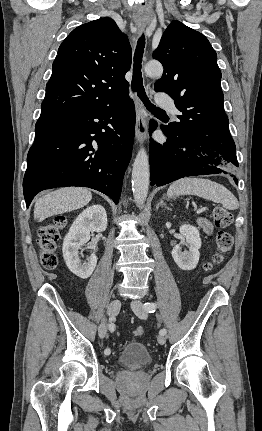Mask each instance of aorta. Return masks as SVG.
Wrapping results in <instances>:
<instances>
[{
    "label": "aorta",
    "instance_id": "aorta-1",
    "mask_svg": "<svg viewBox=\"0 0 262 431\" xmlns=\"http://www.w3.org/2000/svg\"><path fill=\"white\" fill-rule=\"evenodd\" d=\"M145 73L151 77H159L163 67L159 62H149L145 65ZM149 188V158L144 148H141L134 160L132 169V191L136 205L141 208L146 200Z\"/></svg>",
    "mask_w": 262,
    "mask_h": 431
}]
</instances>
